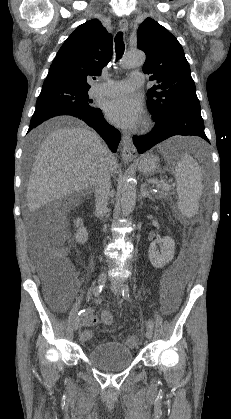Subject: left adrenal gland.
I'll use <instances>...</instances> for the list:
<instances>
[{
  "label": "left adrenal gland",
  "instance_id": "1",
  "mask_svg": "<svg viewBox=\"0 0 231 419\" xmlns=\"http://www.w3.org/2000/svg\"><path fill=\"white\" fill-rule=\"evenodd\" d=\"M140 197L141 198H145L148 197L150 200H153L154 198L150 195V193L148 192L146 185L142 184L141 186V193H140Z\"/></svg>",
  "mask_w": 231,
  "mask_h": 419
}]
</instances>
